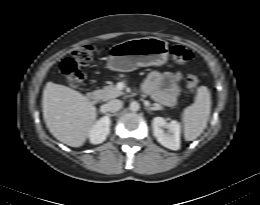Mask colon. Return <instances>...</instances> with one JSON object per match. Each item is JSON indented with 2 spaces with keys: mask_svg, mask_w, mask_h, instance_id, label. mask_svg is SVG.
Listing matches in <instances>:
<instances>
[{
  "mask_svg": "<svg viewBox=\"0 0 260 205\" xmlns=\"http://www.w3.org/2000/svg\"><path fill=\"white\" fill-rule=\"evenodd\" d=\"M97 53L94 44L82 45L72 52L70 57L65 58L61 63V70L67 82L71 86H79L84 80V73L81 66L91 63ZM171 58L175 63L184 64L191 60L192 53L181 45H174L170 49ZM198 77L189 74L186 78V85L189 91L194 92L198 86Z\"/></svg>",
  "mask_w": 260,
  "mask_h": 205,
  "instance_id": "1",
  "label": "colon"
}]
</instances>
